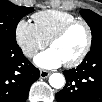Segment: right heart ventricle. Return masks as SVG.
Instances as JSON below:
<instances>
[{
  "instance_id": "1",
  "label": "right heart ventricle",
  "mask_w": 102,
  "mask_h": 102,
  "mask_svg": "<svg viewBox=\"0 0 102 102\" xmlns=\"http://www.w3.org/2000/svg\"><path fill=\"white\" fill-rule=\"evenodd\" d=\"M34 25L40 35L47 41L66 24L77 20L72 13L61 10H45L33 15Z\"/></svg>"
}]
</instances>
